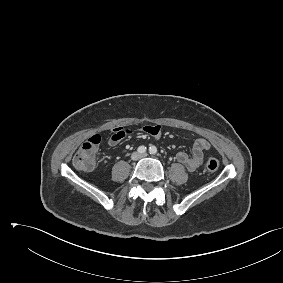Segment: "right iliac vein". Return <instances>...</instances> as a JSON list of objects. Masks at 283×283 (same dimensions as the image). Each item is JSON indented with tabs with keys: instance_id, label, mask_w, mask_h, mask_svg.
<instances>
[{
	"instance_id": "right-iliac-vein-1",
	"label": "right iliac vein",
	"mask_w": 283,
	"mask_h": 283,
	"mask_svg": "<svg viewBox=\"0 0 283 283\" xmlns=\"http://www.w3.org/2000/svg\"><path fill=\"white\" fill-rule=\"evenodd\" d=\"M131 158L132 160L137 161L140 158V154L138 152H134Z\"/></svg>"
}]
</instances>
